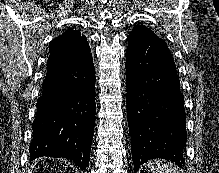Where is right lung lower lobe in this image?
I'll return each mask as SVG.
<instances>
[{"mask_svg":"<svg viewBox=\"0 0 219 173\" xmlns=\"http://www.w3.org/2000/svg\"><path fill=\"white\" fill-rule=\"evenodd\" d=\"M95 81L90 52L62 66L48 59L32 125L30 160L62 157L72 160L81 170L87 167L96 114Z\"/></svg>","mask_w":219,"mask_h":173,"instance_id":"right-lung-lower-lobe-1","label":"right lung lower lobe"}]
</instances>
